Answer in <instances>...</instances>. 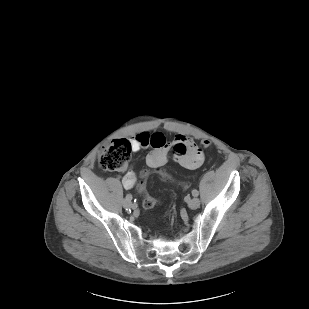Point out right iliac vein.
<instances>
[{
	"mask_svg": "<svg viewBox=\"0 0 309 309\" xmlns=\"http://www.w3.org/2000/svg\"><path fill=\"white\" fill-rule=\"evenodd\" d=\"M123 206L126 208H133L135 207V204L132 202V199L125 198L123 201Z\"/></svg>",
	"mask_w": 309,
	"mask_h": 309,
	"instance_id": "1",
	"label": "right iliac vein"
}]
</instances>
